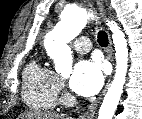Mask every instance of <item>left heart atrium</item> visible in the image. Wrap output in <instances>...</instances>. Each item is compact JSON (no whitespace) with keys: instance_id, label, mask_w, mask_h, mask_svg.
I'll return each mask as SVG.
<instances>
[{"instance_id":"obj_1","label":"left heart atrium","mask_w":142,"mask_h":119,"mask_svg":"<svg viewBox=\"0 0 142 119\" xmlns=\"http://www.w3.org/2000/svg\"><path fill=\"white\" fill-rule=\"evenodd\" d=\"M104 76L97 60H82L73 70L69 81L70 88L78 95L91 96L102 87Z\"/></svg>"}]
</instances>
